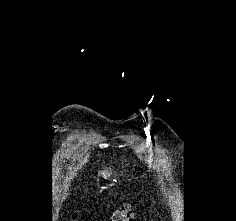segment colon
<instances>
[{
    "label": "colon",
    "instance_id": "1",
    "mask_svg": "<svg viewBox=\"0 0 236 221\" xmlns=\"http://www.w3.org/2000/svg\"><path fill=\"white\" fill-rule=\"evenodd\" d=\"M136 212L134 204L126 203L116 209L106 221H134Z\"/></svg>",
    "mask_w": 236,
    "mask_h": 221
}]
</instances>
